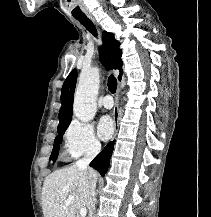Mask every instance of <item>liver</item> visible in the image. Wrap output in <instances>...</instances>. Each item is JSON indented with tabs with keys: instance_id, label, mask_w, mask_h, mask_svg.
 Listing matches in <instances>:
<instances>
[{
	"instance_id": "6515ba94",
	"label": "liver",
	"mask_w": 211,
	"mask_h": 217,
	"mask_svg": "<svg viewBox=\"0 0 211 217\" xmlns=\"http://www.w3.org/2000/svg\"><path fill=\"white\" fill-rule=\"evenodd\" d=\"M97 180V173L89 169ZM74 196L67 208L66 200ZM91 207L88 173L77 165L59 169L49 174L42 188V210L44 217H76L79 209Z\"/></svg>"
}]
</instances>
